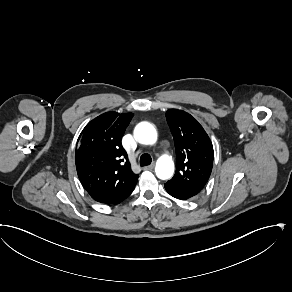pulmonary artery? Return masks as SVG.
<instances>
[{
    "mask_svg": "<svg viewBox=\"0 0 292 292\" xmlns=\"http://www.w3.org/2000/svg\"><path fill=\"white\" fill-rule=\"evenodd\" d=\"M160 135L162 136L163 134L161 133ZM161 136L159 137V139H158V141H157V142H158L157 146L160 147V148L162 147V146L159 144L160 140L162 139ZM143 139H145V138L143 137ZM163 140H164L166 143L168 142V140H167L166 138H164ZM163 146L165 147V151L169 154L170 152L168 151V145L164 143Z\"/></svg>",
    "mask_w": 292,
    "mask_h": 292,
    "instance_id": "e3ab8cb5",
    "label": "pulmonary artery"
}]
</instances>
